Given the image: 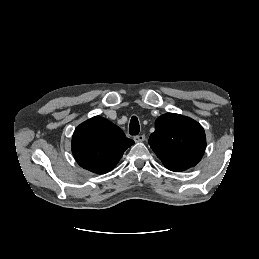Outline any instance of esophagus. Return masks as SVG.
I'll use <instances>...</instances> for the list:
<instances>
[{"mask_svg":"<svg viewBox=\"0 0 259 259\" xmlns=\"http://www.w3.org/2000/svg\"><path fill=\"white\" fill-rule=\"evenodd\" d=\"M145 140V135L140 134L134 137L135 142H143Z\"/></svg>","mask_w":259,"mask_h":259,"instance_id":"esophagus-1","label":"esophagus"}]
</instances>
